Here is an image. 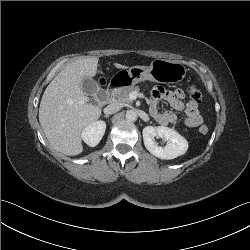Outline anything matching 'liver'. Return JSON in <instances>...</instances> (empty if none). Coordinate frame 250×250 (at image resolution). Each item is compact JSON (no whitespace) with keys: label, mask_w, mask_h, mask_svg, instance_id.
<instances>
[{"label":"liver","mask_w":250,"mask_h":250,"mask_svg":"<svg viewBox=\"0 0 250 250\" xmlns=\"http://www.w3.org/2000/svg\"><path fill=\"white\" fill-rule=\"evenodd\" d=\"M99 59L85 57L69 63L50 82L39 107V122L50 145L68 156L83 152L81 133L99 119L101 108L89 102L83 91L85 78L97 73ZM118 69L126 66L114 63Z\"/></svg>","instance_id":"6515ba94"}]
</instances>
